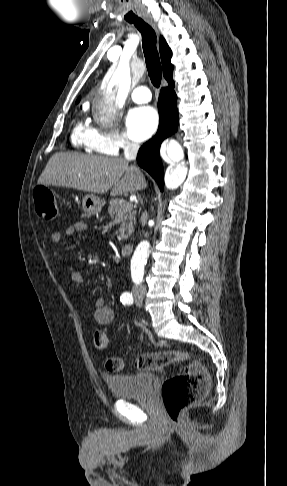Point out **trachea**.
<instances>
[{"mask_svg":"<svg viewBox=\"0 0 287 486\" xmlns=\"http://www.w3.org/2000/svg\"><path fill=\"white\" fill-rule=\"evenodd\" d=\"M130 23H133L141 32L148 74L152 84L158 88L162 79V67L156 47V33L150 25L141 19L133 20Z\"/></svg>","mask_w":287,"mask_h":486,"instance_id":"3493384b","label":"trachea"}]
</instances>
